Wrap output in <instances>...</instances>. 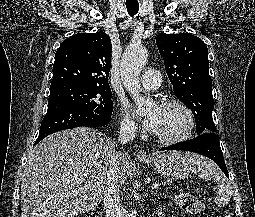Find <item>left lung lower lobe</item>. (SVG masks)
Returning a JSON list of instances; mask_svg holds the SVG:
<instances>
[{
  "mask_svg": "<svg viewBox=\"0 0 255 217\" xmlns=\"http://www.w3.org/2000/svg\"><path fill=\"white\" fill-rule=\"evenodd\" d=\"M160 150H184L204 155L213 160L229 178L216 132L206 131L190 141H185L181 144L165 147Z\"/></svg>",
  "mask_w": 255,
  "mask_h": 217,
  "instance_id": "0a47b994",
  "label": "left lung lower lobe"
}]
</instances>
